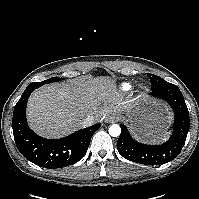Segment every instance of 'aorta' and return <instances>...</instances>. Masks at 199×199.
<instances>
[{
	"mask_svg": "<svg viewBox=\"0 0 199 199\" xmlns=\"http://www.w3.org/2000/svg\"><path fill=\"white\" fill-rule=\"evenodd\" d=\"M109 134L112 136V137H117L120 135L121 133V128L118 124H112L110 127H109V130H108Z\"/></svg>",
	"mask_w": 199,
	"mask_h": 199,
	"instance_id": "obj_1",
	"label": "aorta"
}]
</instances>
